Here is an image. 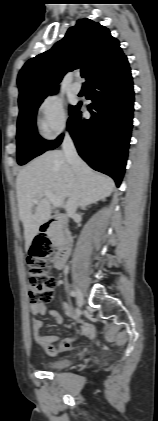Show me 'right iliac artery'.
Here are the masks:
<instances>
[{
	"label": "right iliac artery",
	"mask_w": 158,
	"mask_h": 421,
	"mask_svg": "<svg viewBox=\"0 0 158 421\" xmlns=\"http://www.w3.org/2000/svg\"><path fill=\"white\" fill-rule=\"evenodd\" d=\"M70 296H72V297H76V296H77V293H76L75 291H71V292H70Z\"/></svg>",
	"instance_id": "obj_1"
}]
</instances>
